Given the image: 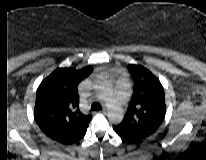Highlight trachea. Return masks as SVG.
Wrapping results in <instances>:
<instances>
[{
	"mask_svg": "<svg viewBox=\"0 0 206 160\" xmlns=\"http://www.w3.org/2000/svg\"><path fill=\"white\" fill-rule=\"evenodd\" d=\"M91 109L99 111L101 110V105L98 102H94L91 106Z\"/></svg>",
	"mask_w": 206,
	"mask_h": 160,
	"instance_id": "3493384b",
	"label": "trachea"
}]
</instances>
